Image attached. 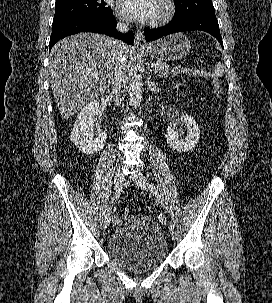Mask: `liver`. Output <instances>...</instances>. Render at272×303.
I'll list each match as a JSON object with an SVG mask.
<instances>
[{
    "mask_svg": "<svg viewBox=\"0 0 272 303\" xmlns=\"http://www.w3.org/2000/svg\"><path fill=\"white\" fill-rule=\"evenodd\" d=\"M116 40L96 33L61 39L49 55L52 93L64 119L75 115L110 86L117 53ZM129 47H124L127 57Z\"/></svg>",
    "mask_w": 272,
    "mask_h": 303,
    "instance_id": "obj_1",
    "label": "liver"
}]
</instances>
